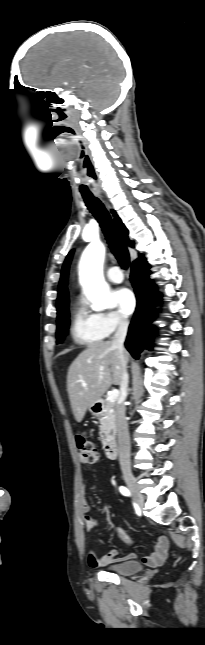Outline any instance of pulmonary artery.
<instances>
[{
    "label": "pulmonary artery",
    "instance_id": "e3ab8cb5",
    "mask_svg": "<svg viewBox=\"0 0 205 645\" xmlns=\"http://www.w3.org/2000/svg\"><path fill=\"white\" fill-rule=\"evenodd\" d=\"M107 277L113 283H121L124 279L122 271L120 270L119 267H116V266L111 267L107 271Z\"/></svg>",
    "mask_w": 205,
    "mask_h": 645
}]
</instances>
